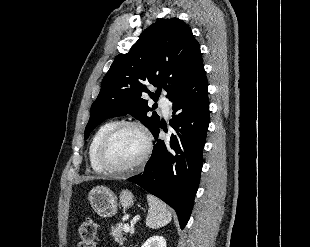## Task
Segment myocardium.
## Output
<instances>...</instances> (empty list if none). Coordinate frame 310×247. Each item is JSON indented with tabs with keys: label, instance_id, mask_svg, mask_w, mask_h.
<instances>
[{
	"label": "myocardium",
	"instance_id": "myocardium-1",
	"mask_svg": "<svg viewBox=\"0 0 310 247\" xmlns=\"http://www.w3.org/2000/svg\"><path fill=\"white\" fill-rule=\"evenodd\" d=\"M124 128H135L139 130L144 138V149L138 159L132 164L121 167V168H113L107 165L104 160V152L112 140V138L122 129ZM152 151V138L149 130L145 125L137 121H120L115 124L103 137L101 140L98 149H97V162L99 166L103 169V171L107 172L110 175H124L131 173L139 168H141L146 161L148 160Z\"/></svg>",
	"mask_w": 310,
	"mask_h": 247
}]
</instances>
